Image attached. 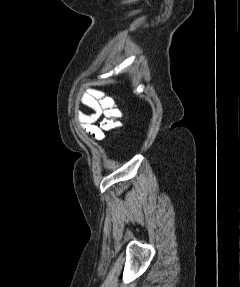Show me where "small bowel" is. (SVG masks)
<instances>
[{"mask_svg": "<svg viewBox=\"0 0 240 287\" xmlns=\"http://www.w3.org/2000/svg\"><path fill=\"white\" fill-rule=\"evenodd\" d=\"M79 100L92 110L90 113L80 115L81 121L85 124V130L89 132L95 139L102 141L104 139V134L102 130L95 125V122L102 115L101 109L96 99L87 93H81L79 95Z\"/></svg>", "mask_w": 240, "mask_h": 287, "instance_id": "c3829d8e", "label": "small bowel"}]
</instances>
